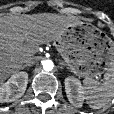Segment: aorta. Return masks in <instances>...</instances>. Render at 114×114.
I'll return each mask as SVG.
<instances>
[{
	"label": "aorta",
	"instance_id": "1",
	"mask_svg": "<svg viewBox=\"0 0 114 114\" xmlns=\"http://www.w3.org/2000/svg\"><path fill=\"white\" fill-rule=\"evenodd\" d=\"M42 64L45 71H51L54 68V63L51 60H45Z\"/></svg>",
	"mask_w": 114,
	"mask_h": 114
}]
</instances>
